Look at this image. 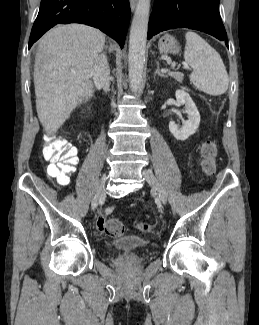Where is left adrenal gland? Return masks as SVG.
<instances>
[{"label":"left adrenal gland","instance_id":"obj_1","mask_svg":"<svg viewBox=\"0 0 259 325\" xmlns=\"http://www.w3.org/2000/svg\"><path fill=\"white\" fill-rule=\"evenodd\" d=\"M156 65H157V69H156L154 75H155V76L158 75V76H161V77L166 78L167 76L160 72V65H159V62H156Z\"/></svg>","mask_w":259,"mask_h":325}]
</instances>
